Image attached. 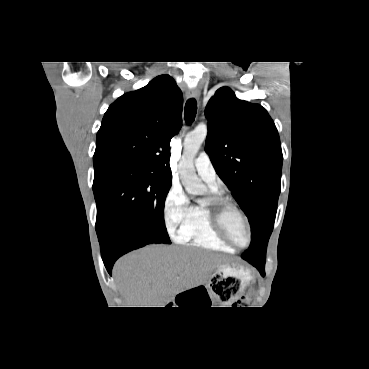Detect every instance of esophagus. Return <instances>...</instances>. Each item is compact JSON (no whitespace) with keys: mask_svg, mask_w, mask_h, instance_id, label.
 I'll list each match as a JSON object with an SVG mask.
<instances>
[{"mask_svg":"<svg viewBox=\"0 0 369 369\" xmlns=\"http://www.w3.org/2000/svg\"><path fill=\"white\" fill-rule=\"evenodd\" d=\"M187 97L188 98L199 99V97H200V90L198 88H193V89L189 90L187 92Z\"/></svg>","mask_w":369,"mask_h":369,"instance_id":"34e87169","label":"esophagus"}]
</instances>
